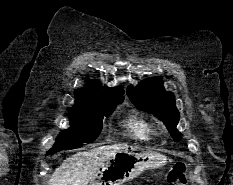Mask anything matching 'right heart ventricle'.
Instances as JSON below:
<instances>
[{
    "label": "right heart ventricle",
    "mask_w": 233,
    "mask_h": 185,
    "mask_svg": "<svg viewBox=\"0 0 233 185\" xmlns=\"http://www.w3.org/2000/svg\"><path fill=\"white\" fill-rule=\"evenodd\" d=\"M124 126L129 135L138 141H150L155 134L153 124L137 113L129 114L124 121Z\"/></svg>",
    "instance_id": "e07e8e85"
}]
</instances>
